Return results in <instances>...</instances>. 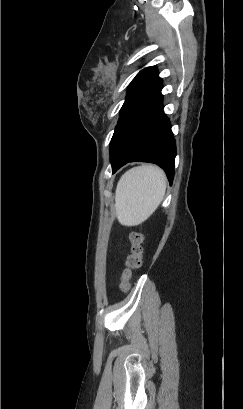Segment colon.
I'll return each mask as SVG.
<instances>
[{"label": "colon", "instance_id": "colon-1", "mask_svg": "<svg viewBox=\"0 0 243 409\" xmlns=\"http://www.w3.org/2000/svg\"><path fill=\"white\" fill-rule=\"evenodd\" d=\"M129 238L131 242V253L127 257L126 265L121 275V288L123 291L129 289L133 271L138 269L142 262L143 234L140 232H132Z\"/></svg>", "mask_w": 243, "mask_h": 409}]
</instances>
